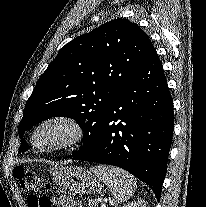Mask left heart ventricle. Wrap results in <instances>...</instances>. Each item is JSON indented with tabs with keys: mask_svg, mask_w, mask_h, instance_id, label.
<instances>
[{
	"mask_svg": "<svg viewBox=\"0 0 206 207\" xmlns=\"http://www.w3.org/2000/svg\"><path fill=\"white\" fill-rule=\"evenodd\" d=\"M69 130L61 124H49L43 127L36 135L35 142L39 147H51L64 141Z\"/></svg>",
	"mask_w": 206,
	"mask_h": 207,
	"instance_id": "obj_1",
	"label": "left heart ventricle"
}]
</instances>
